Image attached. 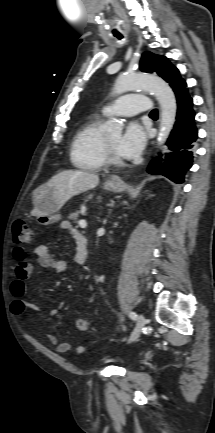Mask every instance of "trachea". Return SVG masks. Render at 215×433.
Here are the masks:
<instances>
[{
  "mask_svg": "<svg viewBox=\"0 0 215 433\" xmlns=\"http://www.w3.org/2000/svg\"><path fill=\"white\" fill-rule=\"evenodd\" d=\"M117 38H118V39H122V36H117ZM157 114H158L157 109H154V110L150 113V115H157Z\"/></svg>",
  "mask_w": 215,
  "mask_h": 433,
  "instance_id": "3493384b",
  "label": "trachea"
}]
</instances>
